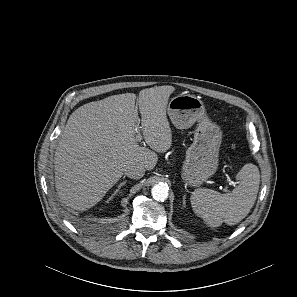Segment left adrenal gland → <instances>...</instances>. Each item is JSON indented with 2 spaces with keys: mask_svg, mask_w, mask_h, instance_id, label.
<instances>
[{
  "mask_svg": "<svg viewBox=\"0 0 297 297\" xmlns=\"http://www.w3.org/2000/svg\"><path fill=\"white\" fill-rule=\"evenodd\" d=\"M185 199H186V195L183 196V204H184V206L186 205V200Z\"/></svg>",
  "mask_w": 297,
  "mask_h": 297,
  "instance_id": "a2214340",
  "label": "left adrenal gland"
}]
</instances>
